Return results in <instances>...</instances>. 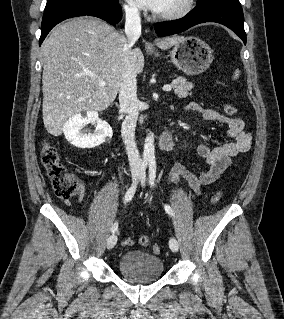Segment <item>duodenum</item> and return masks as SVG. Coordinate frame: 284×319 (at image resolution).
I'll list each match as a JSON object with an SVG mask.
<instances>
[{"label":"duodenum","mask_w":284,"mask_h":319,"mask_svg":"<svg viewBox=\"0 0 284 319\" xmlns=\"http://www.w3.org/2000/svg\"><path fill=\"white\" fill-rule=\"evenodd\" d=\"M174 144V136L171 131H165L159 138V148L161 150H170Z\"/></svg>","instance_id":"duodenum-1"}]
</instances>
